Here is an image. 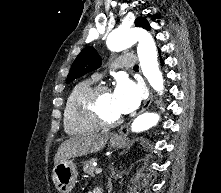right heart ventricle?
<instances>
[{
  "label": "right heart ventricle",
  "instance_id": "right-heart-ventricle-1",
  "mask_svg": "<svg viewBox=\"0 0 221 193\" xmlns=\"http://www.w3.org/2000/svg\"><path fill=\"white\" fill-rule=\"evenodd\" d=\"M93 85L94 80L92 79L79 81L68 94L64 107V129L67 134L75 136L98 130L99 126L85 120L77 109L78 99Z\"/></svg>",
  "mask_w": 221,
  "mask_h": 193
}]
</instances>
